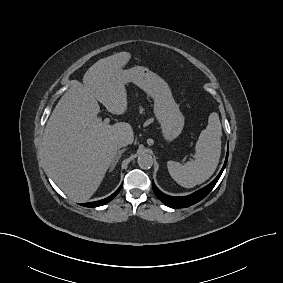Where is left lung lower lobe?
<instances>
[{
  "mask_svg": "<svg viewBox=\"0 0 283 283\" xmlns=\"http://www.w3.org/2000/svg\"><path fill=\"white\" fill-rule=\"evenodd\" d=\"M227 160H228V151H227L225 163H224L220 173L218 174V176L209 185H207L204 188L194 192L191 195L184 196V197L169 196V195L162 193L155 186L154 182H152L153 191H154L155 195L157 196V198L160 199L168 207H171V208L189 207V206L201 201L203 198H205L210 193V191L213 189V187L215 186V184L219 180V178H220V176H221V174H222V172H223V170H224V168L227 164Z\"/></svg>",
  "mask_w": 283,
  "mask_h": 283,
  "instance_id": "left-lung-lower-lobe-1",
  "label": "left lung lower lobe"
}]
</instances>
